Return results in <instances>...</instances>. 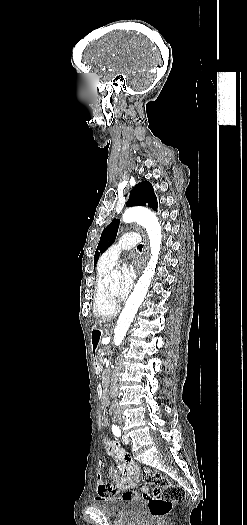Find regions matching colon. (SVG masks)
<instances>
[{
    "mask_svg": "<svg viewBox=\"0 0 247 525\" xmlns=\"http://www.w3.org/2000/svg\"><path fill=\"white\" fill-rule=\"evenodd\" d=\"M96 424V430L102 432L107 421L105 418L100 417L97 419ZM141 478L146 484L158 486V489L153 491L152 495L148 497V507L151 516L155 519L167 518L173 503L184 501L186 498V492L182 487L172 484L165 475L159 472L144 470L141 473Z\"/></svg>",
    "mask_w": 247,
    "mask_h": 525,
    "instance_id": "1",
    "label": "colon"
}]
</instances>
